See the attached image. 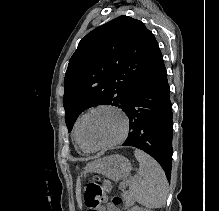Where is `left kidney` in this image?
<instances>
[{
  "mask_svg": "<svg viewBox=\"0 0 219 211\" xmlns=\"http://www.w3.org/2000/svg\"><path fill=\"white\" fill-rule=\"evenodd\" d=\"M132 211H149V209H144V207H138V205H134V207H132Z\"/></svg>",
  "mask_w": 219,
  "mask_h": 211,
  "instance_id": "5707ae66",
  "label": "left kidney"
}]
</instances>
